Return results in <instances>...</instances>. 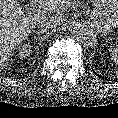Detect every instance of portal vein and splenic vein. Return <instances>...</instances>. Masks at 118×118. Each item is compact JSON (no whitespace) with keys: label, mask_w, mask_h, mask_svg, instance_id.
Returning <instances> with one entry per match:
<instances>
[{"label":"portal vein and splenic vein","mask_w":118,"mask_h":118,"mask_svg":"<svg viewBox=\"0 0 118 118\" xmlns=\"http://www.w3.org/2000/svg\"><path fill=\"white\" fill-rule=\"evenodd\" d=\"M49 1L46 3L47 5L51 4V2H52V0H49ZM39 6H40V8H42V3L41 2L39 3Z\"/></svg>","instance_id":"obj_1"}]
</instances>
